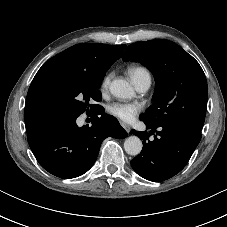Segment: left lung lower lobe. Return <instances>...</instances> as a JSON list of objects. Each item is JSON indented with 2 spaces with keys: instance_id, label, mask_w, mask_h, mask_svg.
Listing matches in <instances>:
<instances>
[{
  "instance_id": "0a47b994",
  "label": "left lung lower lobe",
  "mask_w": 227,
  "mask_h": 227,
  "mask_svg": "<svg viewBox=\"0 0 227 227\" xmlns=\"http://www.w3.org/2000/svg\"><path fill=\"white\" fill-rule=\"evenodd\" d=\"M144 123L147 129H151L149 133L131 131L143 140V149L131 160V166L137 174L147 180H167L179 173L188 163L200 142L201 133L181 124L165 123L154 126ZM154 132V140H149V134Z\"/></svg>"
}]
</instances>
